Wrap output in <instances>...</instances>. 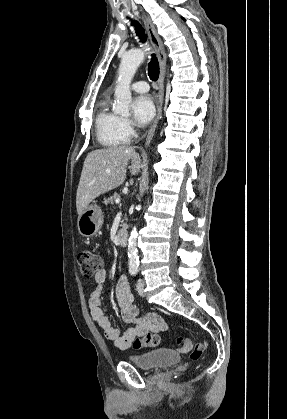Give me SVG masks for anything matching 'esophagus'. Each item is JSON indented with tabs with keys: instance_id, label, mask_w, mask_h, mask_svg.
<instances>
[{
	"instance_id": "obj_1",
	"label": "esophagus",
	"mask_w": 287,
	"mask_h": 419,
	"mask_svg": "<svg viewBox=\"0 0 287 419\" xmlns=\"http://www.w3.org/2000/svg\"><path fill=\"white\" fill-rule=\"evenodd\" d=\"M142 20L147 30L149 39L157 53L159 66H160V74H159V79H158V97L156 101L157 114L146 136L145 146H148L155 133L157 123L160 120L161 115H162V105H163V100H164V79H165V74H166L167 56H166V51L164 49L163 43L160 37L158 36L156 28L153 25L152 21L145 15H142Z\"/></svg>"
}]
</instances>
